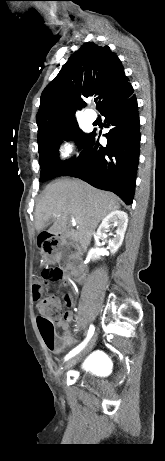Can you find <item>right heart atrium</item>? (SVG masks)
Wrapping results in <instances>:
<instances>
[{"label":"right heart atrium","instance_id":"d8ad5b80","mask_svg":"<svg viewBox=\"0 0 165 461\" xmlns=\"http://www.w3.org/2000/svg\"><path fill=\"white\" fill-rule=\"evenodd\" d=\"M77 155L75 143L69 139H63L58 145V158L61 162H67Z\"/></svg>","mask_w":165,"mask_h":461}]
</instances>
